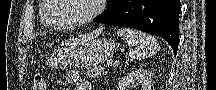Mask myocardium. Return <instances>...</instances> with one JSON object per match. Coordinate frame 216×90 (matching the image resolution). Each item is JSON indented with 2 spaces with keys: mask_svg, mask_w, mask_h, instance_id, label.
I'll list each match as a JSON object with an SVG mask.
<instances>
[{
  "mask_svg": "<svg viewBox=\"0 0 216 90\" xmlns=\"http://www.w3.org/2000/svg\"><path fill=\"white\" fill-rule=\"evenodd\" d=\"M92 3V10L85 17L82 18L79 22L74 23L69 26H57L52 24L50 21H53V18L56 17L57 12H61L63 9L62 2L59 0H48V2H54V8H51V11H48V14H45L44 21H42L48 28L54 31H70L82 27L83 25L89 23L95 19L101 13L100 3H104V0H90Z\"/></svg>",
  "mask_w": 216,
  "mask_h": 90,
  "instance_id": "1",
  "label": "myocardium"
}]
</instances>
